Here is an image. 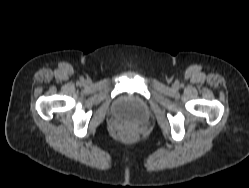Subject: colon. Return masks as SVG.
Masks as SVG:
<instances>
[{
	"mask_svg": "<svg viewBox=\"0 0 249 188\" xmlns=\"http://www.w3.org/2000/svg\"><path fill=\"white\" fill-rule=\"evenodd\" d=\"M123 137H124L126 140H133L134 137H135V134H134L133 131L128 130V131H125V132L123 133Z\"/></svg>",
	"mask_w": 249,
	"mask_h": 188,
	"instance_id": "obj_1",
	"label": "colon"
}]
</instances>
